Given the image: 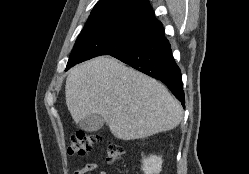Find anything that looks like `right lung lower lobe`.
<instances>
[{
    "label": "right lung lower lobe",
    "mask_w": 249,
    "mask_h": 174,
    "mask_svg": "<svg viewBox=\"0 0 249 174\" xmlns=\"http://www.w3.org/2000/svg\"><path fill=\"white\" fill-rule=\"evenodd\" d=\"M111 56L163 82L184 107L181 72L172 56L162 23L150 27L145 39L137 45Z\"/></svg>",
    "instance_id": "1"
}]
</instances>
